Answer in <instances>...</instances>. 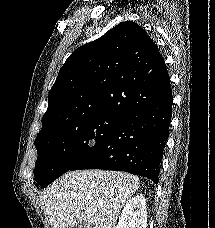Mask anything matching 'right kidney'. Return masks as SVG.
I'll return each instance as SVG.
<instances>
[{
    "label": "right kidney",
    "instance_id": "ca27d5eb",
    "mask_svg": "<svg viewBox=\"0 0 215 228\" xmlns=\"http://www.w3.org/2000/svg\"><path fill=\"white\" fill-rule=\"evenodd\" d=\"M147 204L144 196H134L126 202L116 228H146Z\"/></svg>",
    "mask_w": 215,
    "mask_h": 228
}]
</instances>
